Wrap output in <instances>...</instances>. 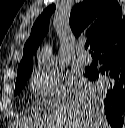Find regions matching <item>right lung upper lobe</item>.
<instances>
[{"label": "right lung upper lobe", "instance_id": "obj_1", "mask_svg": "<svg viewBox=\"0 0 125 128\" xmlns=\"http://www.w3.org/2000/svg\"><path fill=\"white\" fill-rule=\"evenodd\" d=\"M54 11L55 5L48 6L34 23L30 37L24 46L18 72L32 66V55L46 35L49 19ZM123 23H125V16L122 17V9L117 0H85L73 7L69 20L76 37L86 31L91 48Z\"/></svg>", "mask_w": 125, "mask_h": 128}]
</instances>
